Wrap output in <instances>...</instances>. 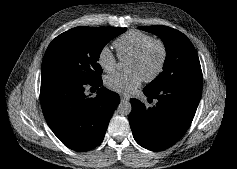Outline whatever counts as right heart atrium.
Instances as JSON below:
<instances>
[{
	"label": "right heart atrium",
	"instance_id": "d8ad5b80",
	"mask_svg": "<svg viewBox=\"0 0 237 169\" xmlns=\"http://www.w3.org/2000/svg\"><path fill=\"white\" fill-rule=\"evenodd\" d=\"M98 63L105 72H113L117 65V58L109 45L103 46L98 53Z\"/></svg>",
	"mask_w": 237,
	"mask_h": 169
}]
</instances>
